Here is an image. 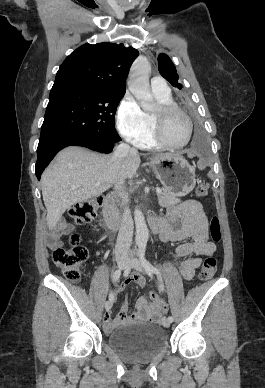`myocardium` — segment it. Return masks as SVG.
Segmentation results:
<instances>
[{
	"label": "myocardium",
	"mask_w": 265,
	"mask_h": 388,
	"mask_svg": "<svg viewBox=\"0 0 265 388\" xmlns=\"http://www.w3.org/2000/svg\"><path fill=\"white\" fill-rule=\"evenodd\" d=\"M149 89H150V91H153V94H154V91H168V90H152L151 85H150ZM169 111H177L178 113H180L183 116L184 121H185L186 137H185L184 142L179 144V145H172V144L168 143L161 133L159 119H158V113H166ZM152 126H153V133H154V137H155L156 141L160 145H162L166 148H170V149L183 148L184 146L187 145V143L189 142L191 135H192V123H191L190 117L182 108H180L179 106H177L173 103H165V104L158 105L157 112L152 114Z\"/></svg>",
	"instance_id": "f54148a6"
}]
</instances>
